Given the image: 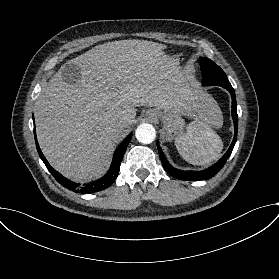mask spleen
<instances>
[{
  "instance_id": "spleen-1",
  "label": "spleen",
  "mask_w": 279,
  "mask_h": 279,
  "mask_svg": "<svg viewBox=\"0 0 279 279\" xmlns=\"http://www.w3.org/2000/svg\"><path fill=\"white\" fill-rule=\"evenodd\" d=\"M205 109L201 118L186 126L185 132L175 139L179 153L190 163L204 165L216 160L223 148L218 135L212 128H220L223 124L221 110L215 100L207 94H201ZM210 124L211 126H209Z\"/></svg>"
}]
</instances>
